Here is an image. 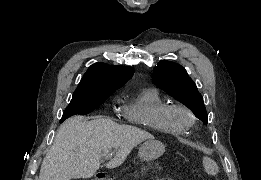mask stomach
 Returning a JSON list of instances; mask_svg holds the SVG:
<instances>
[{"label":"stomach","mask_w":261,"mask_h":180,"mask_svg":"<svg viewBox=\"0 0 261 180\" xmlns=\"http://www.w3.org/2000/svg\"><path fill=\"white\" fill-rule=\"evenodd\" d=\"M164 152L165 146L161 141L150 139L140 146L138 155L142 161H152L162 156Z\"/></svg>","instance_id":"0dacf381"}]
</instances>
